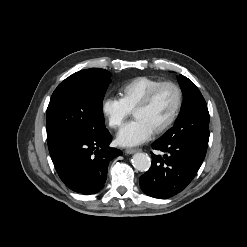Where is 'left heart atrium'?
Returning a JSON list of instances; mask_svg holds the SVG:
<instances>
[{"label": "left heart atrium", "instance_id": "39dd6f15", "mask_svg": "<svg viewBox=\"0 0 247 247\" xmlns=\"http://www.w3.org/2000/svg\"><path fill=\"white\" fill-rule=\"evenodd\" d=\"M153 133V129L144 121L134 119L120 129L117 142L122 146H136L148 141Z\"/></svg>", "mask_w": 247, "mask_h": 247}]
</instances>
